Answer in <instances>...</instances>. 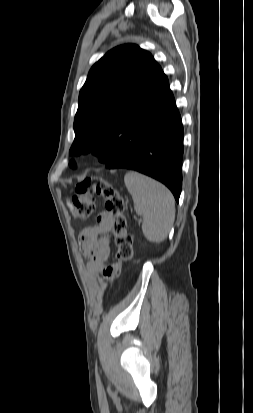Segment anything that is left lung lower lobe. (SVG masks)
<instances>
[{
	"mask_svg": "<svg viewBox=\"0 0 253 413\" xmlns=\"http://www.w3.org/2000/svg\"><path fill=\"white\" fill-rule=\"evenodd\" d=\"M183 125L165 76L139 114L124 122L120 149L108 169L126 168L165 184L178 202L182 189Z\"/></svg>",
	"mask_w": 253,
	"mask_h": 413,
	"instance_id": "0a47b994",
	"label": "left lung lower lobe"
}]
</instances>
